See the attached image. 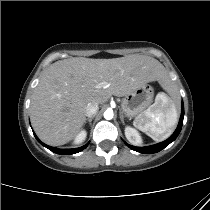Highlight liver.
<instances>
[{"instance_id":"6515ba94","label":"liver","mask_w":210,"mask_h":210,"mask_svg":"<svg viewBox=\"0 0 210 210\" xmlns=\"http://www.w3.org/2000/svg\"><path fill=\"white\" fill-rule=\"evenodd\" d=\"M153 81L165 88L162 64L145 55L113 59L73 57L51 64L34 90L30 118L38 137L60 146L80 131L90 102L103 104Z\"/></svg>"}]
</instances>
